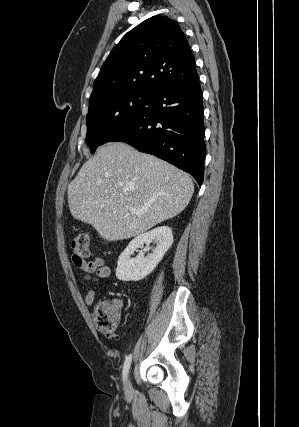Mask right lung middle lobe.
Wrapping results in <instances>:
<instances>
[{
	"label": "right lung middle lobe",
	"instance_id": "dd1d6c3e",
	"mask_svg": "<svg viewBox=\"0 0 299 427\" xmlns=\"http://www.w3.org/2000/svg\"><path fill=\"white\" fill-rule=\"evenodd\" d=\"M154 94L123 92L89 105L86 142L92 153L134 124L148 109Z\"/></svg>",
	"mask_w": 299,
	"mask_h": 427
}]
</instances>
